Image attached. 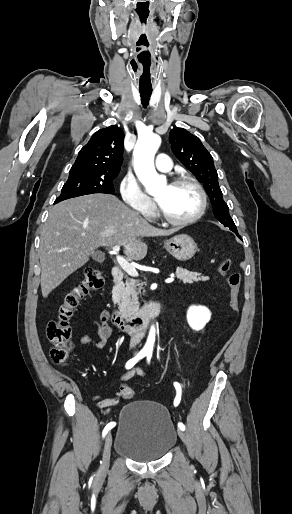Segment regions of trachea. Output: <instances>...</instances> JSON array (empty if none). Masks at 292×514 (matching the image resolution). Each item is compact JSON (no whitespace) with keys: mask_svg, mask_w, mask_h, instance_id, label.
<instances>
[{"mask_svg":"<svg viewBox=\"0 0 292 514\" xmlns=\"http://www.w3.org/2000/svg\"><path fill=\"white\" fill-rule=\"evenodd\" d=\"M139 92L143 107H147L152 94V90L139 89Z\"/></svg>","mask_w":292,"mask_h":514,"instance_id":"trachea-1","label":"trachea"}]
</instances>
